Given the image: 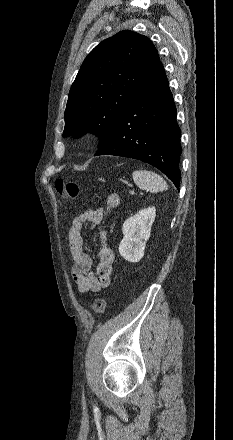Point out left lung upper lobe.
Wrapping results in <instances>:
<instances>
[{
  "instance_id": "5c2ea615",
  "label": "left lung upper lobe",
  "mask_w": 233,
  "mask_h": 440,
  "mask_svg": "<svg viewBox=\"0 0 233 440\" xmlns=\"http://www.w3.org/2000/svg\"><path fill=\"white\" fill-rule=\"evenodd\" d=\"M159 62L158 51L143 35L124 30L102 41L85 58L65 110L64 137L99 136L101 147Z\"/></svg>"
}]
</instances>
